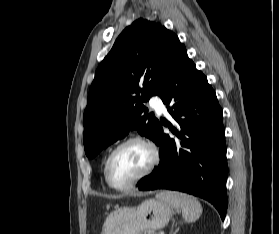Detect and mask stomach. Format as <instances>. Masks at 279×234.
Wrapping results in <instances>:
<instances>
[{
	"label": "stomach",
	"instance_id": "obj_1",
	"mask_svg": "<svg viewBox=\"0 0 279 234\" xmlns=\"http://www.w3.org/2000/svg\"><path fill=\"white\" fill-rule=\"evenodd\" d=\"M173 207L160 199H149L137 207H122L106 218L101 234H142L165 227L173 215Z\"/></svg>",
	"mask_w": 279,
	"mask_h": 234
}]
</instances>
